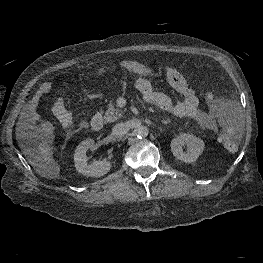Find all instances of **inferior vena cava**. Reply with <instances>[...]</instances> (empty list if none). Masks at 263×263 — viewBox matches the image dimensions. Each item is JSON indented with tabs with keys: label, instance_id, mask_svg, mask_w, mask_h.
<instances>
[{
	"label": "inferior vena cava",
	"instance_id": "602c4592",
	"mask_svg": "<svg viewBox=\"0 0 263 263\" xmlns=\"http://www.w3.org/2000/svg\"><path fill=\"white\" fill-rule=\"evenodd\" d=\"M129 131V127L126 123H118L112 129V134L118 138L125 136Z\"/></svg>",
	"mask_w": 263,
	"mask_h": 263
}]
</instances>
